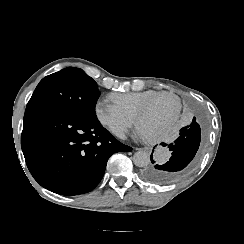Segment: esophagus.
<instances>
[{
    "mask_svg": "<svg viewBox=\"0 0 244 244\" xmlns=\"http://www.w3.org/2000/svg\"><path fill=\"white\" fill-rule=\"evenodd\" d=\"M135 149H136V150H142V151H144V152L149 153V152H151L152 147H142V148H135Z\"/></svg>",
    "mask_w": 244,
    "mask_h": 244,
    "instance_id": "esophagus-1",
    "label": "esophagus"
}]
</instances>
